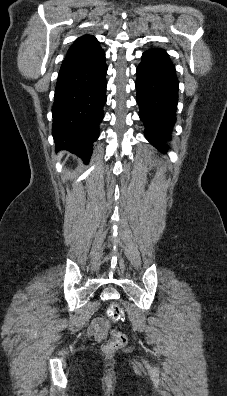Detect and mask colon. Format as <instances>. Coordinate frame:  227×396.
I'll use <instances>...</instances> for the list:
<instances>
[{
    "instance_id": "1",
    "label": "colon",
    "mask_w": 227,
    "mask_h": 396,
    "mask_svg": "<svg viewBox=\"0 0 227 396\" xmlns=\"http://www.w3.org/2000/svg\"><path fill=\"white\" fill-rule=\"evenodd\" d=\"M107 314L113 323H117L122 316L121 305L118 302L112 303L107 310ZM126 343H127V336L120 331L114 330L112 332L110 341L106 343L104 346V351L107 353H112L125 346Z\"/></svg>"
}]
</instances>
